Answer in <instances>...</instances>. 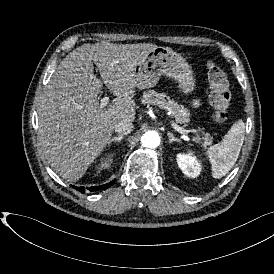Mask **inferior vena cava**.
Listing matches in <instances>:
<instances>
[{
    "instance_id": "602c4592",
    "label": "inferior vena cava",
    "mask_w": 274,
    "mask_h": 274,
    "mask_svg": "<svg viewBox=\"0 0 274 274\" xmlns=\"http://www.w3.org/2000/svg\"><path fill=\"white\" fill-rule=\"evenodd\" d=\"M133 130V124L130 120L120 121L115 125V132L120 135H125Z\"/></svg>"
}]
</instances>
